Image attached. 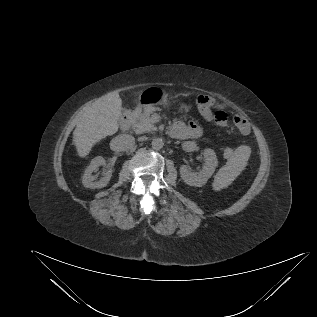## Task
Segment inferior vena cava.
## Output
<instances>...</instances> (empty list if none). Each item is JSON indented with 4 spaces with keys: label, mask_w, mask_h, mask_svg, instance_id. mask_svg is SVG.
Segmentation results:
<instances>
[{
    "label": "inferior vena cava",
    "mask_w": 317,
    "mask_h": 317,
    "mask_svg": "<svg viewBox=\"0 0 317 317\" xmlns=\"http://www.w3.org/2000/svg\"><path fill=\"white\" fill-rule=\"evenodd\" d=\"M135 144V138L128 134L118 135L110 142V148L116 152H124L130 150Z\"/></svg>",
    "instance_id": "inferior-vena-cava-1"
}]
</instances>
